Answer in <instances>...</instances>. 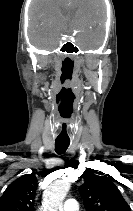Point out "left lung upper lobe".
Listing matches in <instances>:
<instances>
[{
	"mask_svg": "<svg viewBox=\"0 0 133 211\" xmlns=\"http://www.w3.org/2000/svg\"><path fill=\"white\" fill-rule=\"evenodd\" d=\"M96 171L87 169L86 178L79 192L87 211H131L117 186L103 176L95 175Z\"/></svg>",
	"mask_w": 133,
	"mask_h": 211,
	"instance_id": "1",
	"label": "left lung upper lobe"
}]
</instances>
